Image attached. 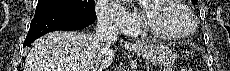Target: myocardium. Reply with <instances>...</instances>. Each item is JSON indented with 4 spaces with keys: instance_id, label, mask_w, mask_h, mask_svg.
<instances>
[{
    "instance_id": "obj_1",
    "label": "myocardium",
    "mask_w": 230,
    "mask_h": 71,
    "mask_svg": "<svg viewBox=\"0 0 230 71\" xmlns=\"http://www.w3.org/2000/svg\"><path fill=\"white\" fill-rule=\"evenodd\" d=\"M153 1H157V0H146L145 2L150 3ZM172 1H173L174 6L183 10L186 13V15L188 16V18L190 20L189 30H187L184 33H173V32L163 30V29L159 28L158 26L154 25L148 19V15H147L148 7H146V4H144V2L141 3L139 6L140 19H141V30L143 32H147V33L153 35L154 37H157L160 39H165V40H182V39H186V38L190 37L195 32L196 26H197L194 14L190 10V8L187 5H185L182 1H180V0H172Z\"/></svg>"
}]
</instances>
